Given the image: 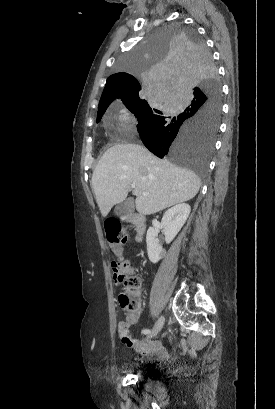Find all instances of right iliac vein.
Returning a JSON list of instances; mask_svg holds the SVG:
<instances>
[{"instance_id": "1", "label": "right iliac vein", "mask_w": 275, "mask_h": 409, "mask_svg": "<svg viewBox=\"0 0 275 409\" xmlns=\"http://www.w3.org/2000/svg\"><path fill=\"white\" fill-rule=\"evenodd\" d=\"M164 316H160L159 319L157 320V322L155 323L151 334L148 335V338L153 337L155 335H157L161 329L163 328L164 325Z\"/></svg>"}]
</instances>
